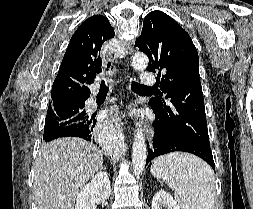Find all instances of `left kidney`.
I'll return each mask as SVG.
<instances>
[{
    "mask_svg": "<svg viewBox=\"0 0 253 209\" xmlns=\"http://www.w3.org/2000/svg\"><path fill=\"white\" fill-rule=\"evenodd\" d=\"M163 207H167V209H180L169 193L160 190L152 199V209H163Z\"/></svg>",
    "mask_w": 253,
    "mask_h": 209,
    "instance_id": "1",
    "label": "left kidney"
}]
</instances>
